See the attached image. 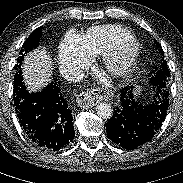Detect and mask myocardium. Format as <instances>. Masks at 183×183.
Segmentation results:
<instances>
[{"mask_svg":"<svg viewBox=\"0 0 183 183\" xmlns=\"http://www.w3.org/2000/svg\"><path fill=\"white\" fill-rule=\"evenodd\" d=\"M139 53L140 45L136 40L124 42L104 55L102 69L110 77H122L131 71Z\"/></svg>","mask_w":183,"mask_h":183,"instance_id":"myocardium-1","label":"myocardium"}]
</instances>
